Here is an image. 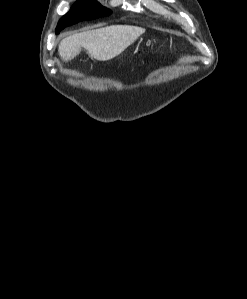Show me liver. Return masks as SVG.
I'll use <instances>...</instances> for the list:
<instances>
[{
    "mask_svg": "<svg viewBox=\"0 0 247 299\" xmlns=\"http://www.w3.org/2000/svg\"><path fill=\"white\" fill-rule=\"evenodd\" d=\"M145 29L131 25H111L64 38L58 48L63 61L77 57L82 48L98 61H108L125 51Z\"/></svg>",
    "mask_w": 247,
    "mask_h": 299,
    "instance_id": "1",
    "label": "liver"
}]
</instances>
